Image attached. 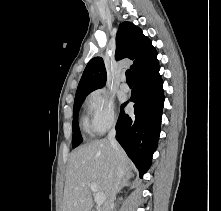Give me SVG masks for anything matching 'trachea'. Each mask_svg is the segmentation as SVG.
Here are the masks:
<instances>
[{
  "mask_svg": "<svg viewBox=\"0 0 221 211\" xmlns=\"http://www.w3.org/2000/svg\"><path fill=\"white\" fill-rule=\"evenodd\" d=\"M126 80H127V82H132L133 81L132 80V72L129 69L126 71Z\"/></svg>",
  "mask_w": 221,
  "mask_h": 211,
  "instance_id": "obj_1",
  "label": "trachea"
}]
</instances>
